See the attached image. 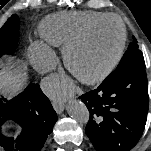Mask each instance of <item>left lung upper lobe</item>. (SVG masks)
Wrapping results in <instances>:
<instances>
[{
  "mask_svg": "<svg viewBox=\"0 0 151 151\" xmlns=\"http://www.w3.org/2000/svg\"><path fill=\"white\" fill-rule=\"evenodd\" d=\"M133 40L134 41L130 43L128 50L125 52L116 70L113 71L106 79H109L115 76L116 74L127 69L130 66H133V65L145 66L143 53L139 49L137 40L134 37H133Z\"/></svg>",
  "mask_w": 151,
  "mask_h": 151,
  "instance_id": "5c2ea615",
  "label": "left lung upper lobe"
}]
</instances>
